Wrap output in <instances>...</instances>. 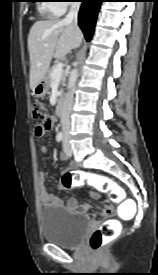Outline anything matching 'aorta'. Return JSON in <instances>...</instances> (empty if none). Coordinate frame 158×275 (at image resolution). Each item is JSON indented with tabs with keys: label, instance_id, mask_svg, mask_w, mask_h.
I'll list each match as a JSON object with an SVG mask.
<instances>
[{
	"label": "aorta",
	"instance_id": "obj_1",
	"mask_svg": "<svg viewBox=\"0 0 158 275\" xmlns=\"http://www.w3.org/2000/svg\"><path fill=\"white\" fill-rule=\"evenodd\" d=\"M78 78V68L75 67L74 69L71 70L69 79H68V88L71 89L75 86V83Z\"/></svg>",
	"mask_w": 158,
	"mask_h": 275
}]
</instances>
